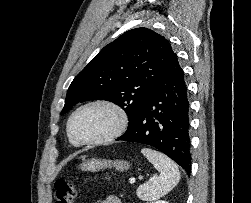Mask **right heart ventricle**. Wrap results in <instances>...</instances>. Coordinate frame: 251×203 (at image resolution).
<instances>
[{
    "label": "right heart ventricle",
    "instance_id": "right-heart-ventricle-1",
    "mask_svg": "<svg viewBox=\"0 0 251 203\" xmlns=\"http://www.w3.org/2000/svg\"><path fill=\"white\" fill-rule=\"evenodd\" d=\"M68 137H69V135H68ZM69 140H70V142L73 144V145H76V143L69 137Z\"/></svg>",
    "mask_w": 251,
    "mask_h": 203
}]
</instances>
